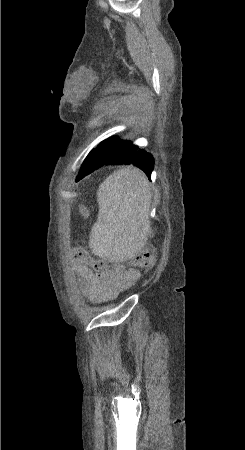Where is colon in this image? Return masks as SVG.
Instances as JSON below:
<instances>
[{"instance_id":"5ec220e1","label":"colon","mask_w":245,"mask_h":450,"mask_svg":"<svg viewBox=\"0 0 245 450\" xmlns=\"http://www.w3.org/2000/svg\"><path fill=\"white\" fill-rule=\"evenodd\" d=\"M80 211L84 216L89 215V210L84 206L80 207ZM74 256L79 261L90 265L92 269L97 273L105 272L108 269V265L103 259L93 258L89 255L86 249L82 247H78L74 250ZM154 256L155 248H143L133 256V258L131 259V263L136 268L148 269L152 267L154 263Z\"/></svg>"}]
</instances>
